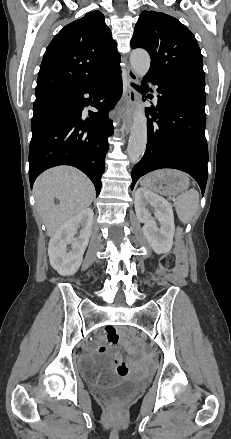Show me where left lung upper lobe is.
<instances>
[{"label": "left lung upper lobe", "mask_w": 231, "mask_h": 439, "mask_svg": "<svg viewBox=\"0 0 231 439\" xmlns=\"http://www.w3.org/2000/svg\"><path fill=\"white\" fill-rule=\"evenodd\" d=\"M131 46L144 48L150 54L151 66L146 77L205 86L202 54L195 36L174 17L143 11L135 25Z\"/></svg>", "instance_id": "left-lung-upper-lobe-1"}]
</instances>
